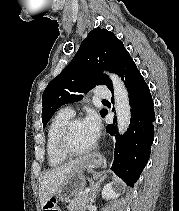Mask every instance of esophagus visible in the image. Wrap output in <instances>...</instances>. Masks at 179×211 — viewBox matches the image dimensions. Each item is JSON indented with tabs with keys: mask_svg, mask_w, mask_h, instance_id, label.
<instances>
[{
	"mask_svg": "<svg viewBox=\"0 0 179 211\" xmlns=\"http://www.w3.org/2000/svg\"><path fill=\"white\" fill-rule=\"evenodd\" d=\"M93 156H100V151H93ZM101 164H103V159L97 158L94 167H101Z\"/></svg>",
	"mask_w": 179,
	"mask_h": 211,
	"instance_id": "34e87169",
	"label": "esophagus"
}]
</instances>
